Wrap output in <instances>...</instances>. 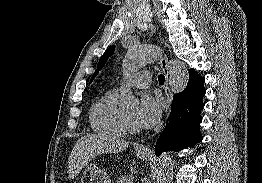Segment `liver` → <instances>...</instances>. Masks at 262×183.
Returning a JSON list of instances; mask_svg holds the SVG:
<instances>
[{"mask_svg": "<svg viewBox=\"0 0 262 183\" xmlns=\"http://www.w3.org/2000/svg\"><path fill=\"white\" fill-rule=\"evenodd\" d=\"M129 142L105 134L82 136L75 144L68 159L69 179L75 178L82 168L100 154L119 153L125 150Z\"/></svg>", "mask_w": 262, "mask_h": 183, "instance_id": "6515ba94", "label": "liver"}]
</instances>
